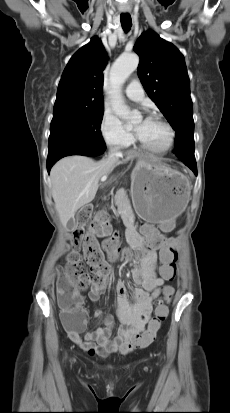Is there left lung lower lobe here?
Listing matches in <instances>:
<instances>
[{"label": "left lung lower lobe", "mask_w": 230, "mask_h": 413, "mask_svg": "<svg viewBox=\"0 0 230 413\" xmlns=\"http://www.w3.org/2000/svg\"><path fill=\"white\" fill-rule=\"evenodd\" d=\"M183 162L186 166H188L195 173V175H197L196 160H190V161L186 160V161H183Z\"/></svg>", "instance_id": "0a47b994"}]
</instances>
